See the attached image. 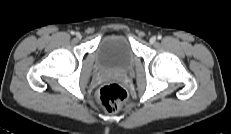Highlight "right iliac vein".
<instances>
[{
	"label": "right iliac vein",
	"mask_w": 231,
	"mask_h": 134,
	"mask_svg": "<svg viewBox=\"0 0 231 134\" xmlns=\"http://www.w3.org/2000/svg\"><path fill=\"white\" fill-rule=\"evenodd\" d=\"M76 37H77V39H81V38H82V35H81L79 32H77V33H76Z\"/></svg>",
	"instance_id": "right-iliac-vein-1"
}]
</instances>
